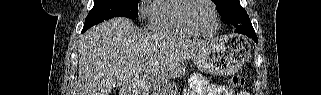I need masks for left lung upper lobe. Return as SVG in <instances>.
I'll return each instance as SVG.
<instances>
[{
    "instance_id": "1",
    "label": "left lung upper lobe",
    "mask_w": 321,
    "mask_h": 95,
    "mask_svg": "<svg viewBox=\"0 0 321 95\" xmlns=\"http://www.w3.org/2000/svg\"><path fill=\"white\" fill-rule=\"evenodd\" d=\"M220 16L226 23L235 28L240 24L251 23L245 9L240 5L239 0H212Z\"/></svg>"
}]
</instances>
